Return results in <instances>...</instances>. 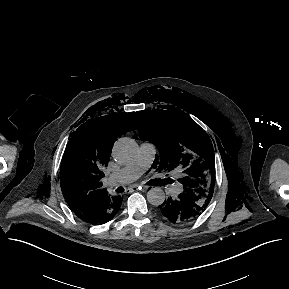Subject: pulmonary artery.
Segmentation results:
<instances>
[{
    "mask_svg": "<svg viewBox=\"0 0 289 289\" xmlns=\"http://www.w3.org/2000/svg\"><path fill=\"white\" fill-rule=\"evenodd\" d=\"M156 145L152 142H143L140 145L138 159L107 177L110 186L125 185L136 180L152 164L156 155ZM178 187L174 188L177 193Z\"/></svg>",
    "mask_w": 289,
    "mask_h": 289,
    "instance_id": "e3ab8cb5",
    "label": "pulmonary artery"
}]
</instances>
